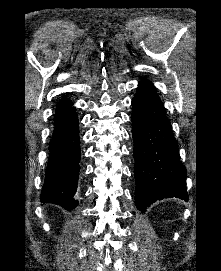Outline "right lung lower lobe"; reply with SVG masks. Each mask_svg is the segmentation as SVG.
Instances as JSON below:
<instances>
[{"label":"right lung lower lobe","instance_id":"1","mask_svg":"<svg viewBox=\"0 0 221 271\" xmlns=\"http://www.w3.org/2000/svg\"><path fill=\"white\" fill-rule=\"evenodd\" d=\"M72 102L56 108L54 130L49 144V160L41 201L66 210L77 207L76 193L81 156L79 123Z\"/></svg>","mask_w":221,"mask_h":271}]
</instances>
